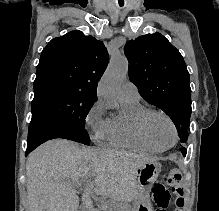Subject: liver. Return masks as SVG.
<instances>
[{
	"mask_svg": "<svg viewBox=\"0 0 219 211\" xmlns=\"http://www.w3.org/2000/svg\"><path fill=\"white\" fill-rule=\"evenodd\" d=\"M152 157L120 149H81L69 139H50L34 151L26 161V211H97L91 195L111 197L110 201H132L137 197V169ZM94 175L81 187V201L75 181Z\"/></svg>",
	"mask_w": 219,
	"mask_h": 211,
	"instance_id": "6515ba94",
	"label": "liver"
}]
</instances>
